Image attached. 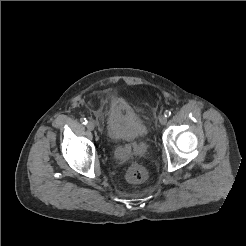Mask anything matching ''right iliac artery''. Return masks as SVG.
I'll return each mask as SVG.
<instances>
[{
  "label": "right iliac artery",
  "instance_id": "obj_1",
  "mask_svg": "<svg viewBox=\"0 0 246 246\" xmlns=\"http://www.w3.org/2000/svg\"><path fill=\"white\" fill-rule=\"evenodd\" d=\"M80 122L85 125V124H87L88 121L86 118H81Z\"/></svg>",
  "mask_w": 246,
  "mask_h": 246
}]
</instances>
